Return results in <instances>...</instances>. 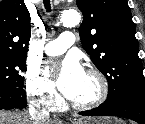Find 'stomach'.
<instances>
[{
	"mask_svg": "<svg viewBox=\"0 0 145 124\" xmlns=\"http://www.w3.org/2000/svg\"><path fill=\"white\" fill-rule=\"evenodd\" d=\"M72 124H119L118 120L109 117L99 119H77Z\"/></svg>",
	"mask_w": 145,
	"mask_h": 124,
	"instance_id": "stomach-1",
	"label": "stomach"
}]
</instances>
